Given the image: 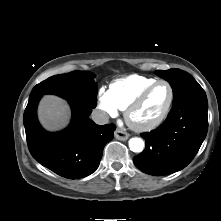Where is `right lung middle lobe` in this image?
Wrapping results in <instances>:
<instances>
[{
    "label": "right lung middle lobe",
    "mask_w": 221,
    "mask_h": 221,
    "mask_svg": "<svg viewBox=\"0 0 221 221\" xmlns=\"http://www.w3.org/2000/svg\"><path fill=\"white\" fill-rule=\"evenodd\" d=\"M94 78L95 74L89 71H73L49 77L33 88L29 100L44 94H56L68 102L95 108L97 84Z\"/></svg>",
    "instance_id": "right-lung-middle-lobe-1"
}]
</instances>
